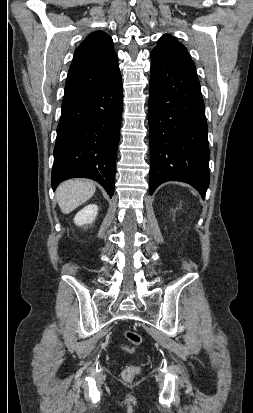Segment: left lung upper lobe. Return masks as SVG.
<instances>
[{"mask_svg":"<svg viewBox=\"0 0 253 413\" xmlns=\"http://www.w3.org/2000/svg\"><path fill=\"white\" fill-rule=\"evenodd\" d=\"M152 51L162 53L178 66L185 68L197 76L195 64L192 61L187 49L171 35H163L159 39L158 45Z\"/></svg>","mask_w":253,"mask_h":413,"instance_id":"obj_1","label":"left lung upper lobe"}]
</instances>
